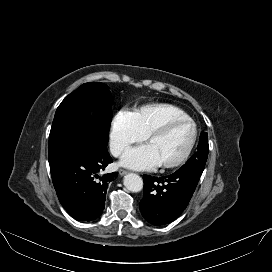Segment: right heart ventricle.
<instances>
[{"label": "right heart ventricle", "instance_id": "1", "mask_svg": "<svg viewBox=\"0 0 272 272\" xmlns=\"http://www.w3.org/2000/svg\"><path fill=\"white\" fill-rule=\"evenodd\" d=\"M133 116L138 130L144 136L169 120L189 118L184 110L168 103H156L143 106L134 111Z\"/></svg>", "mask_w": 272, "mask_h": 272}]
</instances>
